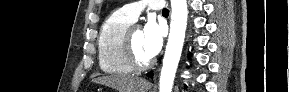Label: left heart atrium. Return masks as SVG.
Wrapping results in <instances>:
<instances>
[{
	"label": "left heart atrium",
	"mask_w": 289,
	"mask_h": 92,
	"mask_svg": "<svg viewBox=\"0 0 289 92\" xmlns=\"http://www.w3.org/2000/svg\"><path fill=\"white\" fill-rule=\"evenodd\" d=\"M164 27L153 18L148 19L143 29L144 47L151 58L156 56L163 44Z\"/></svg>",
	"instance_id": "1"
}]
</instances>
